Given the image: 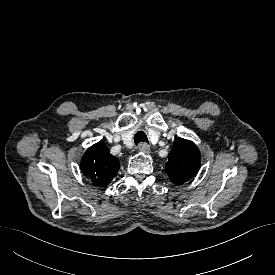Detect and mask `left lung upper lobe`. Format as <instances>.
Returning a JSON list of instances; mask_svg holds the SVG:
<instances>
[{
  "mask_svg": "<svg viewBox=\"0 0 275 275\" xmlns=\"http://www.w3.org/2000/svg\"><path fill=\"white\" fill-rule=\"evenodd\" d=\"M200 160V152L192 141L177 138L168 154L165 172L174 184L181 185L198 172Z\"/></svg>",
  "mask_w": 275,
  "mask_h": 275,
  "instance_id": "1",
  "label": "left lung upper lobe"
}]
</instances>
